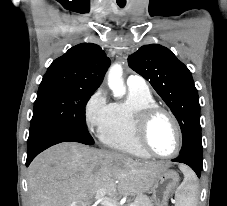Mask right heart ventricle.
Instances as JSON below:
<instances>
[{
  "label": "right heart ventricle",
  "mask_w": 227,
  "mask_h": 206,
  "mask_svg": "<svg viewBox=\"0 0 227 206\" xmlns=\"http://www.w3.org/2000/svg\"><path fill=\"white\" fill-rule=\"evenodd\" d=\"M156 101L150 91L129 90L124 102L112 103L108 122L99 134L102 143L119 152L138 158H150L137 143L134 134V120L137 112Z\"/></svg>",
  "instance_id": "right-heart-ventricle-1"
}]
</instances>
